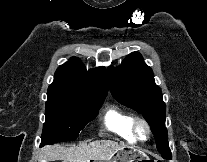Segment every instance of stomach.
Segmentation results:
<instances>
[{
  "label": "stomach",
  "mask_w": 207,
  "mask_h": 162,
  "mask_svg": "<svg viewBox=\"0 0 207 162\" xmlns=\"http://www.w3.org/2000/svg\"><path fill=\"white\" fill-rule=\"evenodd\" d=\"M142 160H149L144 153L126 146L120 150H118L113 156L111 161L105 162H136Z\"/></svg>",
  "instance_id": "0dacf381"
}]
</instances>
